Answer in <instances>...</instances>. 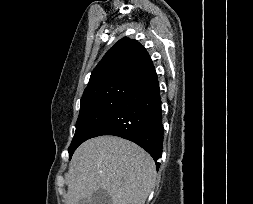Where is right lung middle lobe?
I'll return each instance as SVG.
<instances>
[{"label":"right lung middle lobe","mask_w":253,"mask_h":204,"mask_svg":"<svg viewBox=\"0 0 253 204\" xmlns=\"http://www.w3.org/2000/svg\"><path fill=\"white\" fill-rule=\"evenodd\" d=\"M136 84L137 82L133 81H118L91 89L83 94L76 132L68 148L69 159L81 143L92 137Z\"/></svg>","instance_id":"1"}]
</instances>
